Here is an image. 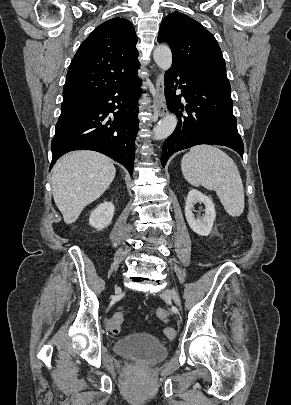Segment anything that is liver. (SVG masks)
Segmentation results:
<instances>
[{"label":"liver","instance_id":"1","mask_svg":"<svg viewBox=\"0 0 291 405\" xmlns=\"http://www.w3.org/2000/svg\"><path fill=\"white\" fill-rule=\"evenodd\" d=\"M116 169L107 156L94 151H74L52 170V191L64 222H75L82 210L109 187Z\"/></svg>","mask_w":291,"mask_h":405}]
</instances>
